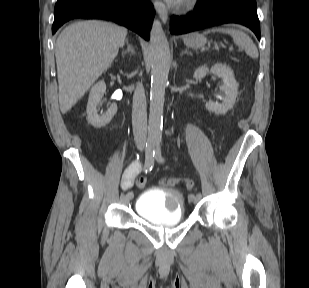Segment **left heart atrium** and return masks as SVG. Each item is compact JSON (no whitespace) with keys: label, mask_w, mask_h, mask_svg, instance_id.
<instances>
[{"label":"left heart atrium","mask_w":309,"mask_h":288,"mask_svg":"<svg viewBox=\"0 0 309 288\" xmlns=\"http://www.w3.org/2000/svg\"><path fill=\"white\" fill-rule=\"evenodd\" d=\"M168 1L171 2V3L177 4V3H179L181 0H168Z\"/></svg>","instance_id":"obj_1"}]
</instances>
